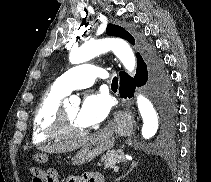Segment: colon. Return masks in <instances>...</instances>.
<instances>
[{
    "label": "colon",
    "instance_id": "obj_1",
    "mask_svg": "<svg viewBox=\"0 0 211 182\" xmlns=\"http://www.w3.org/2000/svg\"><path fill=\"white\" fill-rule=\"evenodd\" d=\"M32 174L36 182H56V171L52 168H32Z\"/></svg>",
    "mask_w": 211,
    "mask_h": 182
}]
</instances>
